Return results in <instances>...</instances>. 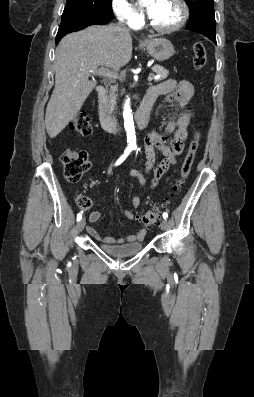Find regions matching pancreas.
<instances>
[{
	"instance_id": "cf45deb5",
	"label": "pancreas",
	"mask_w": 254,
	"mask_h": 397,
	"mask_svg": "<svg viewBox=\"0 0 254 397\" xmlns=\"http://www.w3.org/2000/svg\"><path fill=\"white\" fill-rule=\"evenodd\" d=\"M153 71L156 72L160 77L157 79V81L164 80L167 78L169 71L165 68H163L160 65H155L153 67ZM118 86H112L111 90L109 92V95L106 97V105L109 108L110 111H113L116 105V91H117Z\"/></svg>"
}]
</instances>
